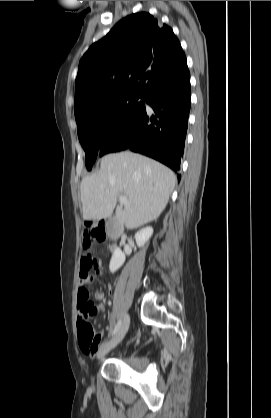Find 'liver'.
I'll return each instance as SVG.
<instances>
[{
    "instance_id": "liver-1",
    "label": "liver",
    "mask_w": 271,
    "mask_h": 418,
    "mask_svg": "<svg viewBox=\"0 0 271 418\" xmlns=\"http://www.w3.org/2000/svg\"><path fill=\"white\" fill-rule=\"evenodd\" d=\"M172 170L148 157L130 151L108 154L100 170L81 181L82 214L86 221L109 218L119 196L129 205L116 208L120 225L135 229L156 220L174 189Z\"/></svg>"
}]
</instances>
